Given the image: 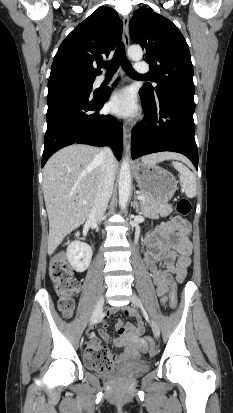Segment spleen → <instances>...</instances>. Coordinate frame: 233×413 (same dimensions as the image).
Masks as SVG:
<instances>
[{
    "label": "spleen",
    "mask_w": 233,
    "mask_h": 413,
    "mask_svg": "<svg viewBox=\"0 0 233 413\" xmlns=\"http://www.w3.org/2000/svg\"><path fill=\"white\" fill-rule=\"evenodd\" d=\"M174 168L180 173V184L188 198L196 196V177L194 173L181 162H173Z\"/></svg>",
    "instance_id": "1"
}]
</instances>
